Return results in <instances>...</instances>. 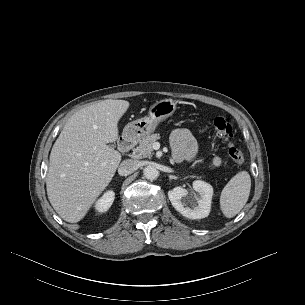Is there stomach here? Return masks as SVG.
<instances>
[{
  "mask_svg": "<svg viewBox=\"0 0 305 305\" xmlns=\"http://www.w3.org/2000/svg\"><path fill=\"white\" fill-rule=\"evenodd\" d=\"M177 109V104L172 99L157 101L149 108L148 116L128 123L123 129L124 138L139 139L153 133L157 126L172 116Z\"/></svg>",
  "mask_w": 305,
  "mask_h": 305,
  "instance_id": "0dacf381",
  "label": "stomach"
}]
</instances>
